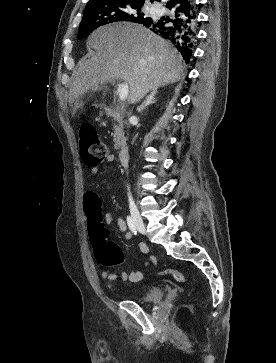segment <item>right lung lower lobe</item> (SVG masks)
Returning a JSON list of instances; mask_svg holds the SVG:
<instances>
[{
  "instance_id": "1",
  "label": "right lung lower lobe",
  "mask_w": 276,
  "mask_h": 363,
  "mask_svg": "<svg viewBox=\"0 0 276 363\" xmlns=\"http://www.w3.org/2000/svg\"><path fill=\"white\" fill-rule=\"evenodd\" d=\"M195 0H168L165 7L171 11L170 17L144 21L150 30L169 40L181 53L186 62L193 53V43L197 28Z\"/></svg>"
}]
</instances>
